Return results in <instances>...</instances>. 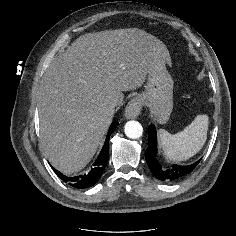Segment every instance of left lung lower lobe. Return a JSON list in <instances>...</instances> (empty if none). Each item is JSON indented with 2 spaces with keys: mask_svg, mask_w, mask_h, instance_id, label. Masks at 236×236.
Here are the masks:
<instances>
[{
  "mask_svg": "<svg viewBox=\"0 0 236 236\" xmlns=\"http://www.w3.org/2000/svg\"><path fill=\"white\" fill-rule=\"evenodd\" d=\"M146 161L156 178L161 181H176L192 172L199 164L200 160L191 165H177L165 167L157 158V133L153 124H150L148 131V148L146 150Z\"/></svg>",
  "mask_w": 236,
  "mask_h": 236,
  "instance_id": "0a47b994",
  "label": "left lung lower lobe"
}]
</instances>
